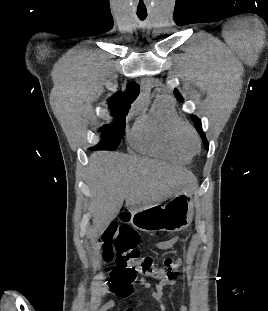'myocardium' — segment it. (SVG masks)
Here are the masks:
<instances>
[{"label":"myocardium","instance_id":"obj_1","mask_svg":"<svg viewBox=\"0 0 268 311\" xmlns=\"http://www.w3.org/2000/svg\"><path fill=\"white\" fill-rule=\"evenodd\" d=\"M174 134L179 146L190 154L199 151L201 147L200 138L194 127L184 119H178L175 123Z\"/></svg>","mask_w":268,"mask_h":311}]
</instances>
